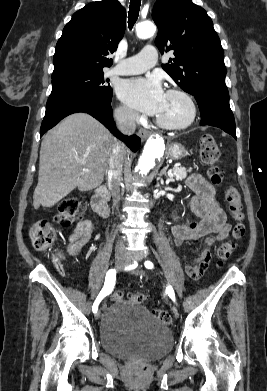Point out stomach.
<instances>
[{
	"mask_svg": "<svg viewBox=\"0 0 267 391\" xmlns=\"http://www.w3.org/2000/svg\"><path fill=\"white\" fill-rule=\"evenodd\" d=\"M187 155L186 149L178 143H173L168 148V156L174 160H180Z\"/></svg>",
	"mask_w": 267,
	"mask_h": 391,
	"instance_id": "obj_1",
	"label": "stomach"
}]
</instances>
